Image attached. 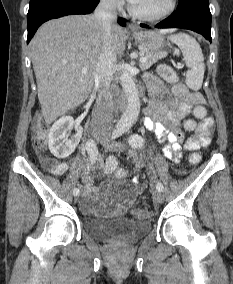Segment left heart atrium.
Listing matches in <instances>:
<instances>
[{
	"mask_svg": "<svg viewBox=\"0 0 233 284\" xmlns=\"http://www.w3.org/2000/svg\"><path fill=\"white\" fill-rule=\"evenodd\" d=\"M130 3L134 4L136 3L138 0H128Z\"/></svg>",
	"mask_w": 233,
	"mask_h": 284,
	"instance_id": "left-heart-atrium-1",
	"label": "left heart atrium"
}]
</instances>
